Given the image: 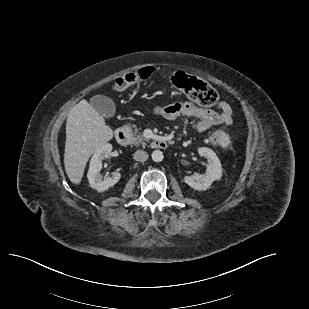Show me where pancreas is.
Here are the masks:
<instances>
[{
  "label": "pancreas",
  "mask_w": 309,
  "mask_h": 309,
  "mask_svg": "<svg viewBox=\"0 0 309 309\" xmlns=\"http://www.w3.org/2000/svg\"><path fill=\"white\" fill-rule=\"evenodd\" d=\"M126 127H128L129 129L133 130L134 129V145L139 146V145H145L146 142L148 141L147 138H145L140 132L139 129L136 126L130 127L129 125H127Z\"/></svg>",
  "instance_id": "cf45deb5"
}]
</instances>
